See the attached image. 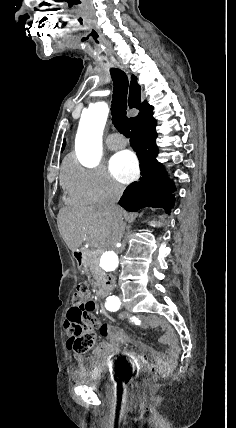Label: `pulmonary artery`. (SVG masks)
Segmentation results:
<instances>
[{"mask_svg":"<svg viewBox=\"0 0 236 428\" xmlns=\"http://www.w3.org/2000/svg\"><path fill=\"white\" fill-rule=\"evenodd\" d=\"M127 142H121V143H113V142H108V146L109 148H111L112 150H118V149H122L126 146Z\"/></svg>","mask_w":236,"mask_h":428,"instance_id":"obj_1","label":"pulmonary artery"}]
</instances>
